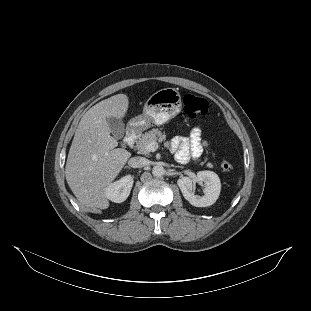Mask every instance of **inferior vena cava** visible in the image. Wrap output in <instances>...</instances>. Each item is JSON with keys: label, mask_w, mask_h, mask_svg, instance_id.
<instances>
[{"label": "inferior vena cava", "mask_w": 311, "mask_h": 311, "mask_svg": "<svg viewBox=\"0 0 311 311\" xmlns=\"http://www.w3.org/2000/svg\"><path fill=\"white\" fill-rule=\"evenodd\" d=\"M148 159L140 156L132 157L128 160V165L132 168H142L148 165Z\"/></svg>", "instance_id": "602c4592"}]
</instances>
